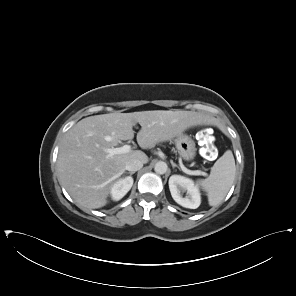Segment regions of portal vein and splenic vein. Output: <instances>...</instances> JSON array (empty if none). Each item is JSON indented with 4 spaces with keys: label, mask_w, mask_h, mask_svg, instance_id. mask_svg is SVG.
I'll return each instance as SVG.
<instances>
[{
    "label": "portal vein and splenic vein",
    "mask_w": 296,
    "mask_h": 296,
    "mask_svg": "<svg viewBox=\"0 0 296 296\" xmlns=\"http://www.w3.org/2000/svg\"><path fill=\"white\" fill-rule=\"evenodd\" d=\"M105 151L108 153V157H112L113 155H116V154L128 153L129 151H131V146L124 145L122 147H117V148H108V149H105ZM181 167H182L183 171L189 175H203V176L207 175V173H205L201 170L191 171V170H188L187 168H185L183 165Z\"/></svg>",
    "instance_id": "obj_1"
}]
</instances>
